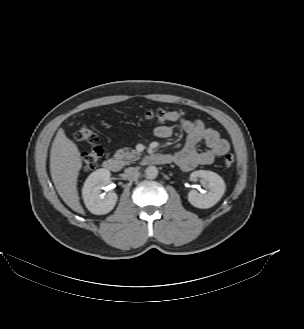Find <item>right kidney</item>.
I'll return each mask as SVG.
<instances>
[{"label": "right kidney", "instance_id": "ca27d5eb", "mask_svg": "<svg viewBox=\"0 0 304 329\" xmlns=\"http://www.w3.org/2000/svg\"><path fill=\"white\" fill-rule=\"evenodd\" d=\"M110 180V171L107 169H98L91 173L86 179L82 188V196L86 208L93 214L102 215L110 212L116 202L117 194L109 192L106 195L101 194V187Z\"/></svg>", "mask_w": 304, "mask_h": 329}]
</instances>
